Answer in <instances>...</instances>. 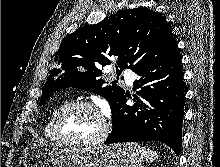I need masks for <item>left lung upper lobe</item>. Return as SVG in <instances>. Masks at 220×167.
Instances as JSON below:
<instances>
[{
  "label": "left lung upper lobe",
  "instance_id": "5c2ea615",
  "mask_svg": "<svg viewBox=\"0 0 220 167\" xmlns=\"http://www.w3.org/2000/svg\"><path fill=\"white\" fill-rule=\"evenodd\" d=\"M176 48L175 35L158 12L135 8L121 10L96 25H88L67 35L56 53L55 62L62 69L50 71L42 89L39 105L63 88L77 87L97 93L110 103L111 110L124 94L115 83H106L101 66L116 58L118 74L125 68L133 71L165 57Z\"/></svg>",
  "mask_w": 220,
  "mask_h": 167
}]
</instances>
